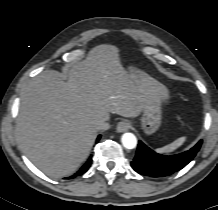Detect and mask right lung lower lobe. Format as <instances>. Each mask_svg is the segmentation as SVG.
<instances>
[{
    "label": "right lung lower lobe",
    "instance_id": "right-lung-lower-lobe-1",
    "mask_svg": "<svg viewBox=\"0 0 218 210\" xmlns=\"http://www.w3.org/2000/svg\"><path fill=\"white\" fill-rule=\"evenodd\" d=\"M100 135L98 136V138H97V141L100 139ZM91 164H92V158L90 157L88 160H87V162L77 171V173H75V175L74 176H72V177H75V176H79V175H82V174H84L88 169H89V167L91 166Z\"/></svg>",
    "mask_w": 218,
    "mask_h": 210
}]
</instances>
